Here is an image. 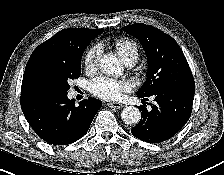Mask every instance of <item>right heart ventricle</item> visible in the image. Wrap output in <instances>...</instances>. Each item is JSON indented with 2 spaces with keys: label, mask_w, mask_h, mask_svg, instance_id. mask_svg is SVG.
Wrapping results in <instances>:
<instances>
[{
  "label": "right heart ventricle",
  "mask_w": 224,
  "mask_h": 175,
  "mask_svg": "<svg viewBox=\"0 0 224 175\" xmlns=\"http://www.w3.org/2000/svg\"><path fill=\"white\" fill-rule=\"evenodd\" d=\"M114 48L121 59L125 62L128 59L138 58V46L130 39L121 38L114 42Z\"/></svg>",
  "instance_id": "1"
}]
</instances>
